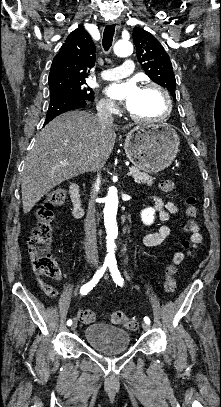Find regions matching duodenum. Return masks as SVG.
Wrapping results in <instances>:
<instances>
[{"label":"duodenum","mask_w":221,"mask_h":407,"mask_svg":"<svg viewBox=\"0 0 221 407\" xmlns=\"http://www.w3.org/2000/svg\"><path fill=\"white\" fill-rule=\"evenodd\" d=\"M70 195L72 203V212L75 218H81L85 214L83 208L82 199L80 195V187L78 184H73L70 186Z\"/></svg>","instance_id":"410a0bca"}]
</instances>
